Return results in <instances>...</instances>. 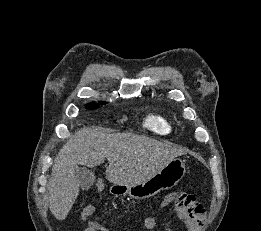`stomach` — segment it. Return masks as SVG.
<instances>
[{
	"label": "stomach",
	"mask_w": 261,
	"mask_h": 231,
	"mask_svg": "<svg viewBox=\"0 0 261 231\" xmlns=\"http://www.w3.org/2000/svg\"><path fill=\"white\" fill-rule=\"evenodd\" d=\"M185 172L184 162L180 158H175L161 171L141 183L130 185L114 184L110 190L115 194L128 195L133 199L141 200L152 197L161 190H168L174 187L183 178Z\"/></svg>",
	"instance_id": "0dacf381"
}]
</instances>
